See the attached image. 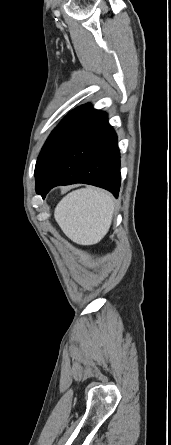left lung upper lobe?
<instances>
[{
    "instance_id": "1",
    "label": "left lung upper lobe",
    "mask_w": 171,
    "mask_h": 445,
    "mask_svg": "<svg viewBox=\"0 0 171 445\" xmlns=\"http://www.w3.org/2000/svg\"><path fill=\"white\" fill-rule=\"evenodd\" d=\"M92 110L90 104H85L80 107H77L73 111H71L61 122L60 124L52 131L47 141L45 142L40 155L38 157L36 166H35V175L39 171L40 167L56 146V144L60 141V139L64 136V134L75 125L83 116H85L89 111Z\"/></svg>"
}]
</instances>
